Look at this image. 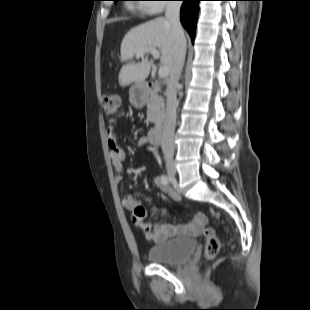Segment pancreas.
Returning a JSON list of instances; mask_svg holds the SVG:
<instances>
[{
	"instance_id": "1",
	"label": "pancreas",
	"mask_w": 310,
	"mask_h": 310,
	"mask_svg": "<svg viewBox=\"0 0 310 310\" xmlns=\"http://www.w3.org/2000/svg\"><path fill=\"white\" fill-rule=\"evenodd\" d=\"M164 107L163 97L152 94L147 107V121L154 124L160 123L164 116Z\"/></svg>"
}]
</instances>
